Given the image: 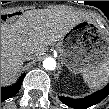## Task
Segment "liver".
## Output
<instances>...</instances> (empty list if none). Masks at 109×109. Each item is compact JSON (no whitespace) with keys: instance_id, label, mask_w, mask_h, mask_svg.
Returning a JSON list of instances; mask_svg holds the SVG:
<instances>
[{"instance_id":"obj_1","label":"liver","mask_w":109,"mask_h":109,"mask_svg":"<svg viewBox=\"0 0 109 109\" xmlns=\"http://www.w3.org/2000/svg\"><path fill=\"white\" fill-rule=\"evenodd\" d=\"M82 20L89 18L73 10L35 9L24 12L12 24H2V85L12 83L20 74L23 53H32L34 58L44 54L49 45L63 39Z\"/></svg>"}]
</instances>
